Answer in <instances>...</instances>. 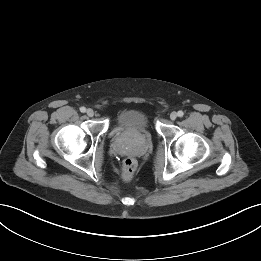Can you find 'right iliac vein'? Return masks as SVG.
I'll list each match as a JSON object with an SVG mask.
<instances>
[{
  "instance_id": "63e3f726",
  "label": "right iliac vein",
  "mask_w": 261,
  "mask_h": 261,
  "mask_svg": "<svg viewBox=\"0 0 261 261\" xmlns=\"http://www.w3.org/2000/svg\"><path fill=\"white\" fill-rule=\"evenodd\" d=\"M86 113H87V115L89 116V117H93L94 116V111L92 110V109H87V111H86Z\"/></svg>"
}]
</instances>
